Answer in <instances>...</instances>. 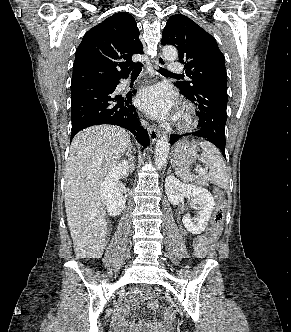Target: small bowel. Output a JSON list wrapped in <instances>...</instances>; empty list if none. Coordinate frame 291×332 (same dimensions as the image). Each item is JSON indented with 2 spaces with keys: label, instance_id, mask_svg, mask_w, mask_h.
Masks as SVG:
<instances>
[{
  "label": "small bowel",
  "instance_id": "small-bowel-1",
  "mask_svg": "<svg viewBox=\"0 0 291 332\" xmlns=\"http://www.w3.org/2000/svg\"><path fill=\"white\" fill-rule=\"evenodd\" d=\"M193 251L196 257H204L207 253V240L205 236L199 235L196 236L193 240ZM142 298L147 301L148 306L153 311H158L160 309L159 304L151 299L148 294H143ZM171 324V317L170 313L166 312L164 315L163 320H152L147 321L143 324L144 328L159 331V332H165ZM120 326L126 327L127 324L125 322H120Z\"/></svg>",
  "mask_w": 291,
  "mask_h": 332
}]
</instances>
